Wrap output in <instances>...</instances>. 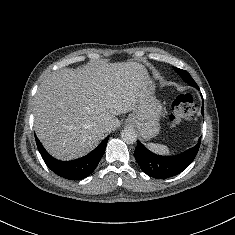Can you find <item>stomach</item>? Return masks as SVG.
<instances>
[{
	"label": "stomach",
	"instance_id": "0dacf381",
	"mask_svg": "<svg viewBox=\"0 0 235 235\" xmlns=\"http://www.w3.org/2000/svg\"><path fill=\"white\" fill-rule=\"evenodd\" d=\"M155 84L148 76L142 79L137 104L126 124L137 128L144 140L155 137L160 130L159 120L163 115V106L154 96Z\"/></svg>",
	"mask_w": 235,
	"mask_h": 235
}]
</instances>
